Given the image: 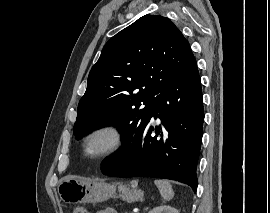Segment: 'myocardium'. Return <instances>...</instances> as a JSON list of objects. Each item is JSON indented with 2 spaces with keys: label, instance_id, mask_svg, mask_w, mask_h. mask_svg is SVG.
Segmentation results:
<instances>
[{
  "label": "myocardium",
  "instance_id": "myocardium-1",
  "mask_svg": "<svg viewBox=\"0 0 270 213\" xmlns=\"http://www.w3.org/2000/svg\"><path fill=\"white\" fill-rule=\"evenodd\" d=\"M103 139L104 143L98 151L90 150L89 146L95 139ZM124 143L122 129L113 123L98 124L89 129L81 141V151L89 159L100 160L117 152Z\"/></svg>",
  "mask_w": 270,
  "mask_h": 213
}]
</instances>
